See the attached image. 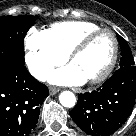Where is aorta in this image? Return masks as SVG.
<instances>
[{
  "label": "aorta",
  "mask_w": 136,
  "mask_h": 136,
  "mask_svg": "<svg viewBox=\"0 0 136 136\" xmlns=\"http://www.w3.org/2000/svg\"><path fill=\"white\" fill-rule=\"evenodd\" d=\"M59 101L62 106L71 108L76 103V97L72 92L64 91L59 95Z\"/></svg>",
  "instance_id": "aorta-1"
}]
</instances>
